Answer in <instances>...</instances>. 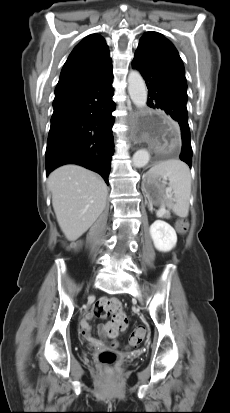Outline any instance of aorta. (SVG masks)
<instances>
[{
    "instance_id": "762f6f07",
    "label": "aorta",
    "mask_w": 230,
    "mask_h": 413,
    "mask_svg": "<svg viewBox=\"0 0 230 413\" xmlns=\"http://www.w3.org/2000/svg\"><path fill=\"white\" fill-rule=\"evenodd\" d=\"M128 92L132 102L138 108H143L147 103V88L144 79L137 70H132L128 75ZM150 154L147 150L141 149L135 152L132 158L133 166L137 168L148 164Z\"/></svg>"
}]
</instances>
